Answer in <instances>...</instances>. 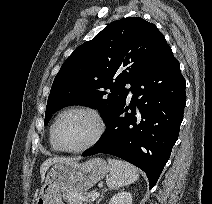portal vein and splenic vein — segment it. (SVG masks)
<instances>
[{"mask_svg": "<svg viewBox=\"0 0 212 204\" xmlns=\"http://www.w3.org/2000/svg\"><path fill=\"white\" fill-rule=\"evenodd\" d=\"M97 197H99V193L95 192L91 196V201H94Z\"/></svg>", "mask_w": 212, "mask_h": 204, "instance_id": "18ae733b", "label": "portal vein and splenic vein"}]
</instances>
